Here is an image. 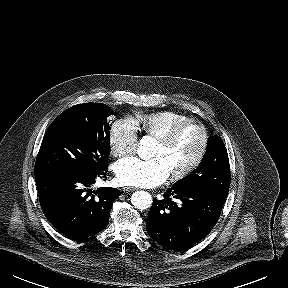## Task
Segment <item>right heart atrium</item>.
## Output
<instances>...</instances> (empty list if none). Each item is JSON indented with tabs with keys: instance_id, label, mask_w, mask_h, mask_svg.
<instances>
[{
	"instance_id": "d8ad5b80",
	"label": "right heart atrium",
	"mask_w": 288,
	"mask_h": 288,
	"mask_svg": "<svg viewBox=\"0 0 288 288\" xmlns=\"http://www.w3.org/2000/svg\"><path fill=\"white\" fill-rule=\"evenodd\" d=\"M138 141V128L131 118H123L114 122L109 132L111 152L115 156L132 153Z\"/></svg>"
}]
</instances>
